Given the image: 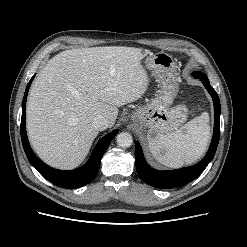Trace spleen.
Returning a JSON list of instances; mask_svg holds the SVG:
<instances>
[{
    "mask_svg": "<svg viewBox=\"0 0 247 247\" xmlns=\"http://www.w3.org/2000/svg\"><path fill=\"white\" fill-rule=\"evenodd\" d=\"M208 121L209 116L204 112L173 133L150 137L148 141L152 155L171 168L195 162L205 152L210 139Z\"/></svg>",
    "mask_w": 247,
    "mask_h": 247,
    "instance_id": "1",
    "label": "spleen"
}]
</instances>
